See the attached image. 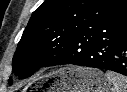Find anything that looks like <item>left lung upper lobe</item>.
<instances>
[{"mask_svg": "<svg viewBox=\"0 0 127 92\" xmlns=\"http://www.w3.org/2000/svg\"><path fill=\"white\" fill-rule=\"evenodd\" d=\"M126 1L45 0L23 32L13 57V72L22 68V78L30 76L54 59L77 33Z\"/></svg>", "mask_w": 127, "mask_h": 92, "instance_id": "left-lung-upper-lobe-1", "label": "left lung upper lobe"}]
</instances>
